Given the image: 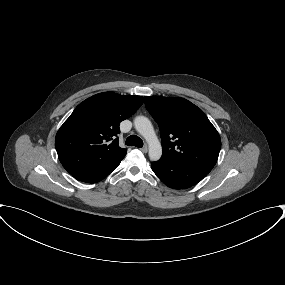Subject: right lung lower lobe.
<instances>
[{
  "mask_svg": "<svg viewBox=\"0 0 285 285\" xmlns=\"http://www.w3.org/2000/svg\"><path fill=\"white\" fill-rule=\"evenodd\" d=\"M112 171L104 173V174L91 175V176H85V175H81L79 173H70V174L79 181L88 182V183H96V182L102 180L103 178H105Z\"/></svg>",
  "mask_w": 285,
  "mask_h": 285,
  "instance_id": "obj_1",
  "label": "right lung lower lobe"
}]
</instances>
